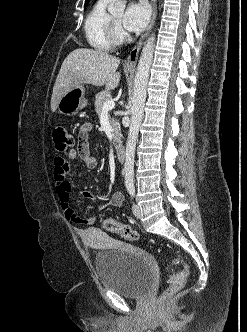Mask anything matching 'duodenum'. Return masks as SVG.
Masks as SVG:
<instances>
[{
	"label": "duodenum",
	"instance_id": "duodenum-1",
	"mask_svg": "<svg viewBox=\"0 0 247 332\" xmlns=\"http://www.w3.org/2000/svg\"><path fill=\"white\" fill-rule=\"evenodd\" d=\"M125 155H126V152H125V147L124 145L122 144H118L116 146V156L117 158L120 160V161H123L125 159Z\"/></svg>",
	"mask_w": 247,
	"mask_h": 332
}]
</instances>
